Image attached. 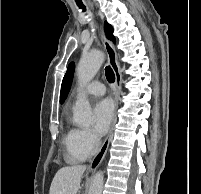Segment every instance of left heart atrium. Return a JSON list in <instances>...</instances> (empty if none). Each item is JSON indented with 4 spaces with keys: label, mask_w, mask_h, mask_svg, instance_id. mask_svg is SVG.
Instances as JSON below:
<instances>
[{
    "label": "left heart atrium",
    "mask_w": 201,
    "mask_h": 194,
    "mask_svg": "<svg viewBox=\"0 0 201 194\" xmlns=\"http://www.w3.org/2000/svg\"><path fill=\"white\" fill-rule=\"evenodd\" d=\"M114 107L109 99L99 101L93 110L94 130L97 134H105L112 122Z\"/></svg>",
    "instance_id": "obj_1"
}]
</instances>
